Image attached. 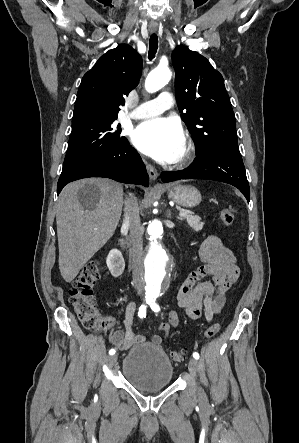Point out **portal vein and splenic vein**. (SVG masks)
Wrapping results in <instances>:
<instances>
[{"mask_svg": "<svg viewBox=\"0 0 299 443\" xmlns=\"http://www.w3.org/2000/svg\"><path fill=\"white\" fill-rule=\"evenodd\" d=\"M187 214L185 212L180 211L179 216L185 217Z\"/></svg>", "mask_w": 299, "mask_h": 443, "instance_id": "1", "label": "portal vein and splenic vein"}]
</instances>
